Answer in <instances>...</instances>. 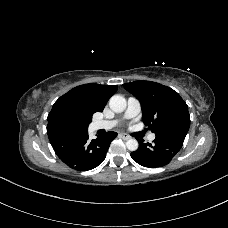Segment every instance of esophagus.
<instances>
[{
  "label": "esophagus",
  "instance_id": "1",
  "mask_svg": "<svg viewBox=\"0 0 228 228\" xmlns=\"http://www.w3.org/2000/svg\"><path fill=\"white\" fill-rule=\"evenodd\" d=\"M120 136H121V138L124 139V140H128V139L131 138L128 134H125V133H121Z\"/></svg>",
  "mask_w": 228,
  "mask_h": 228
}]
</instances>
